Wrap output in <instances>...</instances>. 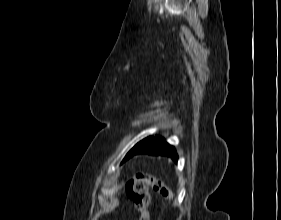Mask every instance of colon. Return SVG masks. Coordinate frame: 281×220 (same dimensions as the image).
I'll use <instances>...</instances> for the list:
<instances>
[{"instance_id": "1", "label": "colon", "mask_w": 281, "mask_h": 220, "mask_svg": "<svg viewBox=\"0 0 281 220\" xmlns=\"http://www.w3.org/2000/svg\"><path fill=\"white\" fill-rule=\"evenodd\" d=\"M150 187L161 196L168 199L172 198V193L162 182L148 173L138 172L126 183V194L134 202L135 208L140 214L139 220H150L148 212Z\"/></svg>"}]
</instances>
